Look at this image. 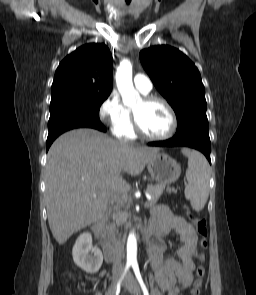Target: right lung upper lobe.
Returning <instances> with one entry per match:
<instances>
[{
    "instance_id": "right-lung-upper-lobe-1",
    "label": "right lung upper lobe",
    "mask_w": 256,
    "mask_h": 295,
    "mask_svg": "<svg viewBox=\"0 0 256 295\" xmlns=\"http://www.w3.org/2000/svg\"><path fill=\"white\" fill-rule=\"evenodd\" d=\"M112 90V55L105 44H86L58 66L51 102L64 98L108 97Z\"/></svg>"
}]
</instances>
